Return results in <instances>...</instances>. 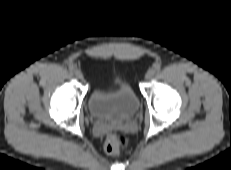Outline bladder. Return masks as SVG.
Wrapping results in <instances>:
<instances>
[{
    "mask_svg": "<svg viewBox=\"0 0 231 170\" xmlns=\"http://www.w3.org/2000/svg\"><path fill=\"white\" fill-rule=\"evenodd\" d=\"M139 100L125 81L116 80L109 89L97 85L88 99L92 117L100 123H113L131 118L138 111Z\"/></svg>",
    "mask_w": 231,
    "mask_h": 170,
    "instance_id": "bladder-1",
    "label": "bladder"
}]
</instances>
